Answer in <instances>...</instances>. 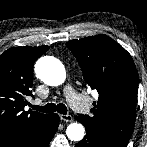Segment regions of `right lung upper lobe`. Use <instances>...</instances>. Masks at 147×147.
Here are the masks:
<instances>
[{
    "instance_id": "obj_1",
    "label": "right lung upper lobe",
    "mask_w": 147,
    "mask_h": 147,
    "mask_svg": "<svg viewBox=\"0 0 147 147\" xmlns=\"http://www.w3.org/2000/svg\"><path fill=\"white\" fill-rule=\"evenodd\" d=\"M49 46L14 47L0 55V147L41 128L50 114L24 110L32 96L33 65Z\"/></svg>"
}]
</instances>
